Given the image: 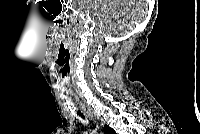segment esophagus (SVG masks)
Returning <instances> with one entry per match:
<instances>
[{
    "label": "esophagus",
    "mask_w": 200,
    "mask_h": 134,
    "mask_svg": "<svg viewBox=\"0 0 200 134\" xmlns=\"http://www.w3.org/2000/svg\"><path fill=\"white\" fill-rule=\"evenodd\" d=\"M80 107H81V109L87 114V116H88L90 119H93V120H94L93 114H92L90 111H87L84 105L81 104Z\"/></svg>",
    "instance_id": "1"
}]
</instances>
